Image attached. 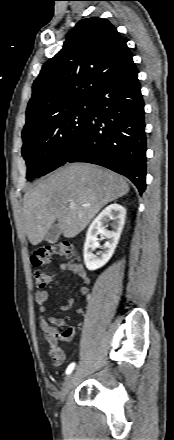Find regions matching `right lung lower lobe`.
Returning <instances> with one entry per match:
<instances>
[{
    "instance_id": "obj_1",
    "label": "right lung lower lobe",
    "mask_w": 174,
    "mask_h": 440,
    "mask_svg": "<svg viewBox=\"0 0 174 440\" xmlns=\"http://www.w3.org/2000/svg\"><path fill=\"white\" fill-rule=\"evenodd\" d=\"M87 127L65 162H87L129 178L146 188L144 102L138 71L130 62L104 80L91 98Z\"/></svg>"
}]
</instances>
